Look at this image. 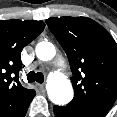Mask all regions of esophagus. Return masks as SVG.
I'll return each mask as SVG.
<instances>
[{
    "label": "esophagus",
    "instance_id": "esophagus-1",
    "mask_svg": "<svg viewBox=\"0 0 117 117\" xmlns=\"http://www.w3.org/2000/svg\"><path fill=\"white\" fill-rule=\"evenodd\" d=\"M38 88L41 92L45 91V85L44 84H38Z\"/></svg>",
    "mask_w": 117,
    "mask_h": 117
}]
</instances>
